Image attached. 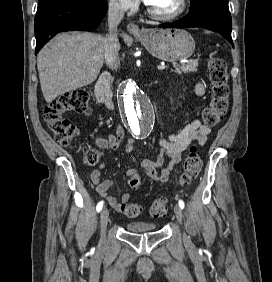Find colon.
<instances>
[{"label": "colon", "mask_w": 272, "mask_h": 282, "mask_svg": "<svg viewBox=\"0 0 272 282\" xmlns=\"http://www.w3.org/2000/svg\"><path fill=\"white\" fill-rule=\"evenodd\" d=\"M209 79L211 83V101L202 111L203 122L207 126H214L221 122L229 107V85L227 67L224 61L218 57H211L207 63ZM89 94L86 91H79L75 94H65L51 102L45 111V121L48 124L54 139L62 146H68L77 136L78 128L70 120L64 118L69 112L89 114ZM99 160V152L96 149H89L84 156L87 165H95ZM201 159L196 149L192 148L183 164V172L180 182L183 185L190 184L199 174ZM129 184L131 187H139L140 178L130 175ZM168 209V202L165 198H159L152 202L150 213L154 217H163ZM121 212L128 217H136L143 213V206L136 203H127L121 208Z\"/></svg>", "instance_id": "1"}]
</instances>
